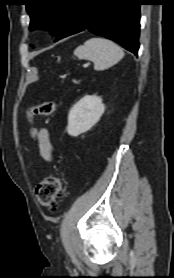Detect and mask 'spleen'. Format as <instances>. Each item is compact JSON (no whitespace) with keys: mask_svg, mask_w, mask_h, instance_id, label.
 Masks as SVG:
<instances>
[{"mask_svg":"<svg viewBox=\"0 0 174 278\" xmlns=\"http://www.w3.org/2000/svg\"><path fill=\"white\" fill-rule=\"evenodd\" d=\"M74 54L79 59L92 61L97 71L115 65L124 57L123 50L116 43L98 37L91 38L84 45L77 47Z\"/></svg>","mask_w":174,"mask_h":278,"instance_id":"obj_1","label":"spleen"}]
</instances>
